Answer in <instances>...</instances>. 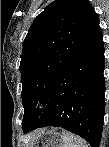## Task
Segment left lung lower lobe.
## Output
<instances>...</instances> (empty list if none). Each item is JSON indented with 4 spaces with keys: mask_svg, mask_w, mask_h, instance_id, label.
Listing matches in <instances>:
<instances>
[{
    "mask_svg": "<svg viewBox=\"0 0 109 147\" xmlns=\"http://www.w3.org/2000/svg\"><path fill=\"white\" fill-rule=\"evenodd\" d=\"M104 45L100 27L62 68L47 105L25 133L38 127H62L99 147L104 119Z\"/></svg>",
    "mask_w": 109,
    "mask_h": 147,
    "instance_id": "0a47b994",
    "label": "left lung lower lobe"
}]
</instances>
